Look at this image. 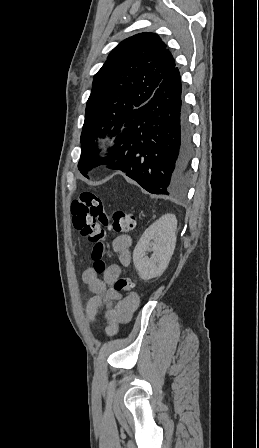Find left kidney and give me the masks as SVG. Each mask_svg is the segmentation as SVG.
Wrapping results in <instances>:
<instances>
[{
  "instance_id": "1",
  "label": "left kidney",
  "mask_w": 259,
  "mask_h": 448,
  "mask_svg": "<svg viewBox=\"0 0 259 448\" xmlns=\"http://www.w3.org/2000/svg\"><path fill=\"white\" fill-rule=\"evenodd\" d=\"M176 230L177 220L174 214H165L145 230L133 252L134 266L142 280L160 278L165 272L175 250ZM149 250L154 252L152 258L146 256Z\"/></svg>"
}]
</instances>
